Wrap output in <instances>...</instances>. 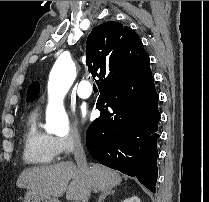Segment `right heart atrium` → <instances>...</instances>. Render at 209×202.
<instances>
[{
  "label": "right heart atrium",
  "instance_id": "right-heart-atrium-1",
  "mask_svg": "<svg viewBox=\"0 0 209 202\" xmlns=\"http://www.w3.org/2000/svg\"><path fill=\"white\" fill-rule=\"evenodd\" d=\"M54 142L59 154L69 156L81 147L82 138L81 134L76 129H72L64 136L55 137ZM69 167L73 176H78L81 173V171L73 165H69Z\"/></svg>",
  "mask_w": 209,
  "mask_h": 202
}]
</instances>
